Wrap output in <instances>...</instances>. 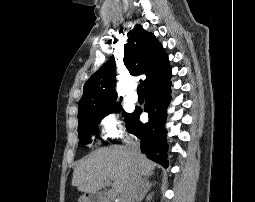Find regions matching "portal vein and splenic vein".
Masks as SVG:
<instances>
[{
  "instance_id": "18ae733b",
  "label": "portal vein and splenic vein",
  "mask_w": 255,
  "mask_h": 202,
  "mask_svg": "<svg viewBox=\"0 0 255 202\" xmlns=\"http://www.w3.org/2000/svg\"><path fill=\"white\" fill-rule=\"evenodd\" d=\"M106 183L109 185L110 181H106ZM111 195H115V192L113 190L111 191Z\"/></svg>"
}]
</instances>
